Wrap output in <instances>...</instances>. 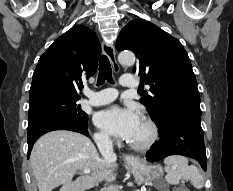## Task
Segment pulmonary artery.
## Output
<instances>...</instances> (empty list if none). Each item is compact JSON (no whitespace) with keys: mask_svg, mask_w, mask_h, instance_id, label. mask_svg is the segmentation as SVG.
Wrapping results in <instances>:
<instances>
[{"mask_svg":"<svg viewBox=\"0 0 233 191\" xmlns=\"http://www.w3.org/2000/svg\"><path fill=\"white\" fill-rule=\"evenodd\" d=\"M120 84L124 88H136L138 83L136 79L131 75H123L120 79ZM86 99L83 101L93 106L105 105L112 102L118 95V92L114 88H105L100 91H92L90 89L85 90Z\"/></svg>","mask_w":233,"mask_h":191,"instance_id":"e3ab8cb5","label":"pulmonary artery"}]
</instances>
